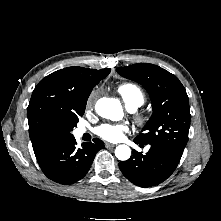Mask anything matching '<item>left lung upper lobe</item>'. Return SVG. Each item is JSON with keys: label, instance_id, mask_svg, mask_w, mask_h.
<instances>
[{"label": "left lung upper lobe", "instance_id": "5c2ea615", "mask_svg": "<svg viewBox=\"0 0 221 221\" xmlns=\"http://www.w3.org/2000/svg\"><path fill=\"white\" fill-rule=\"evenodd\" d=\"M118 74L141 84L149 93L153 114L136 137L142 144L162 145L183 153L190 128L186 90L179 79L165 69L148 63L118 67Z\"/></svg>", "mask_w": 221, "mask_h": 221}]
</instances>
